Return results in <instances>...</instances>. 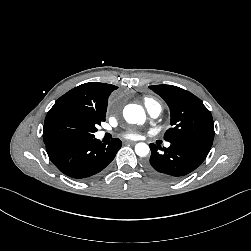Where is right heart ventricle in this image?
Masks as SVG:
<instances>
[{
  "mask_svg": "<svg viewBox=\"0 0 251 251\" xmlns=\"http://www.w3.org/2000/svg\"><path fill=\"white\" fill-rule=\"evenodd\" d=\"M152 101H154V100H153V99H150V98H146V99H145V103H146V102H152Z\"/></svg>",
  "mask_w": 251,
  "mask_h": 251,
  "instance_id": "e07e8e85",
  "label": "right heart ventricle"
}]
</instances>
